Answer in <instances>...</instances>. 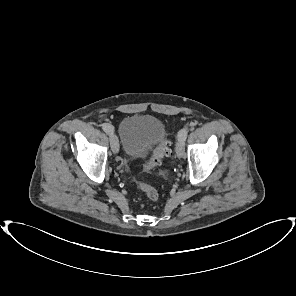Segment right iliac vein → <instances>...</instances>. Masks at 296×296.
Here are the masks:
<instances>
[{
  "label": "right iliac vein",
  "mask_w": 296,
  "mask_h": 296,
  "mask_svg": "<svg viewBox=\"0 0 296 296\" xmlns=\"http://www.w3.org/2000/svg\"><path fill=\"white\" fill-rule=\"evenodd\" d=\"M112 151L117 154L119 151V142L117 136L112 132L109 134Z\"/></svg>",
  "instance_id": "right-iliac-vein-1"
}]
</instances>
